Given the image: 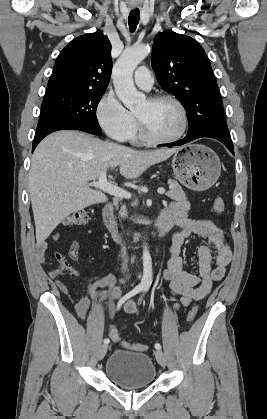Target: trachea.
I'll return each instance as SVG.
<instances>
[{"instance_id":"1","label":"trachea","mask_w":267,"mask_h":419,"mask_svg":"<svg viewBox=\"0 0 267 419\" xmlns=\"http://www.w3.org/2000/svg\"><path fill=\"white\" fill-rule=\"evenodd\" d=\"M139 20H140L139 9L136 8L134 10H131L129 13V20H128L129 29L131 32H134L136 30Z\"/></svg>"}]
</instances>
